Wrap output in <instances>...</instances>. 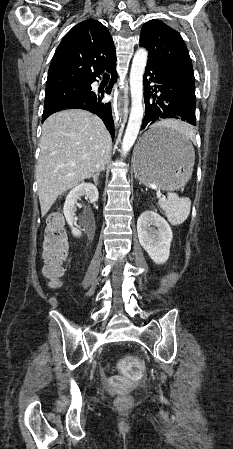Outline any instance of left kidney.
Masks as SVG:
<instances>
[{
	"instance_id": "5707ae66",
	"label": "left kidney",
	"mask_w": 233,
	"mask_h": 449,
	"mask_svg": "<svg viewBox=\"0 0 233 449\" xmlns=\"http://www.w3.org/2000/svg\"><path fill=\"white\" fill-rule=\"evenodd\" d=\"M141 246L156 264H164L170 254L172 230L167 221L153 211L143 212L137 220Z\"/></svg>"
}]
</instances>
